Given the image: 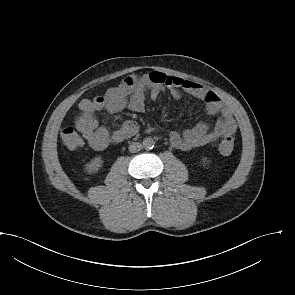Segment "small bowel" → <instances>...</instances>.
<instances>
[{"mask_svg":"<svg viewBox=\"0 0 295 295\" xmlns=\"http://www.w3.org/2000/svg\"><path fill=\"white\" fill-rule=\"evenodd\" d=\"M165 88L176 100L182 93L200 99L205 104L207 114L218 116L212 127L206 122H199L184 132L172 131L169 139L174 148L189 151L215 143L235 133L237 125L234 117L216 93L196 82L157 71L143 76H128L104 94L81 100L75 125L91 148L104 150L111 144L120 143L135 135L138 125L133 120H126L117 130L110 133L107 128L98 124L95 113L105 110L113 114L125 109L143 112L147 94L155 101Z\"/></svg>","mask_w":295,"mask_h":295,"instance_id":"c3829d8e","label":"small bowel"}]
</instances>
